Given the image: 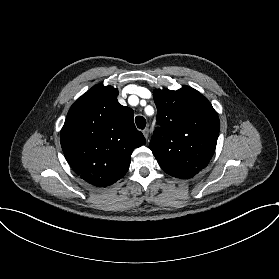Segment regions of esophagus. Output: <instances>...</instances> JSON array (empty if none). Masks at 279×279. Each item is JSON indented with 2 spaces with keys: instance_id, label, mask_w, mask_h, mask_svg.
Wrapping results in <instances>:
<instances>
[{
  "instance_id": "esophagus-1",
  "label": "esophagus",
  "mask_w": 279,
  "mask_h": 279,
  "mask_svg": "<svg viewBox=\"0 0 279 279\" xmlns=\"http://www.w3.org/2000/svg\"><path fill=\"white\" fill-rule=\"evenodd\" d=\"M143 135H144V137L146 138V139H148V137H149V135H150V130H149V128H145L144 130H143Z\"/></svg>"
}]
</instances>
